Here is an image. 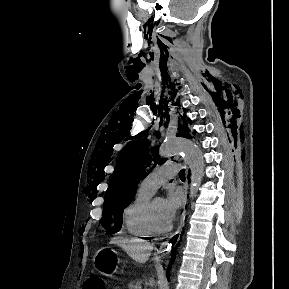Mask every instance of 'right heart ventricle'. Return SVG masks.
<instances>
[{"label": "right heart ventricle", "mask_w": 289, "mask_h": 289, "mask_svg": "<svg viewBox=\"0 0 289 289\" xmlns=\"http://www.w3.org/2000/svg\"><path fill=\"white\" fill-rule=\"evenodd\" d=\"M151 196L152 193L138 189L134 199L124 211L126 229L135 237L148 238L155 234L147 219V205Z\"/></svg>", "instance_id": "right-heart-ventricle-1"}]
</instances>
